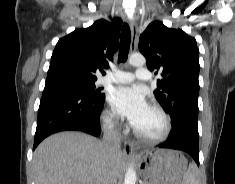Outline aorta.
Listing matches in <instances>:
<instances>
[{"instance_id": "1", "label": "aorta", "mask_w": 235, "mask_h": 184, "mask_svg": "<svg viewBox=\"0 0 235 184\" xmlns=\"http://www.w3.org/2000/svg\"><path fill=\"white\" fill-rule=\"evenodd\" d=\"M129 64L131 66H137V68H143L146 64V60L144 56H141V54H132L129 58ZM136 182V172L134 168H128L126 174H125V182L124 184H135Z\"/></svg>"}]
</instances>
